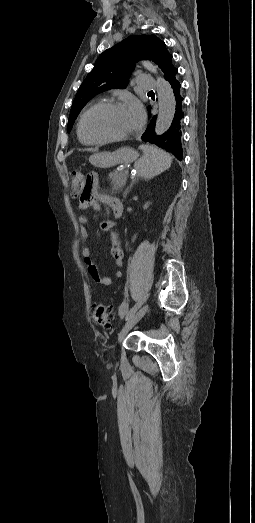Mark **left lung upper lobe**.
<instances>
[{"label": "left lung upper lobe", "mask_w": 255, "mask_h": 523, "mask_svg": "<svg viewBox=\"0 0 255 523\" xmlns=\"http://www.w3.org/2000/svg\"><path fill=\"white\" fill-rule=\"evenodd\" d=\"M141 59L154 61L162 69L167 81H170V78L176 76L178 72V69L172 64V55L167 51L165 43L158 37L155 35L129 36L121 43L104 51L95 62L93 70L81 84L71 107L68 132H70L82 108L95 95L109 89H124L128 84L135 62ZM150 110L151 106L148 107L149 112ZM150 117L151 114L149 113ZM153 134H155V126ZM155 137H161V135L155 134Z\"/></svg>", "instance_id": "1"}]
</instances>
